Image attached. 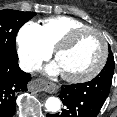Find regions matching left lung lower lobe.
<instances>
[{"label": "left lung lower lobe", "mask_w": 117, "mask_h": 117, "mask_svg": "<svg viewBox=\"0 0 117 117\" xmlns=\"http://www.w3.org/2000/svg\"><path fill=\"white\" fill-rule=\"evenodd\" d=\"M110 85L102 77L86 83L63 85L59 97L64 109L47 114V117H96L109 94Z\"/></svg>", "instance_id": "0a47b994"}]
</instances>
